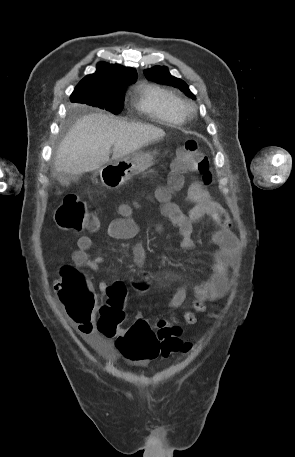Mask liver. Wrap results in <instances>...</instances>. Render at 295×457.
Here are the masks:
<instances>
[{
    "mask_svg": "<svg viewBox=\"0 0 295 457\" xmlns=\"http://www.w3.org/2000/svg\"><path fill=\"white\" fill-rule=\"evenodd\" d=\"M165 132L153 125L127 123L105 114L94 113L78 119L60 143L54 162L59 173L79 175L120 159L153 141Z\"/></svg>",
    "mask_w": 295,
    "mask_h": 457,
    "instance_id": "6515ba94",
    "label": "liver"
}]
</instances>
